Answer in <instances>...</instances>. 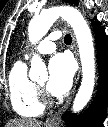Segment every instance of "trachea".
Here are the masks:
<instances>
[{
	"label": "trachea",
	"instance_id": "obj_1",
	"mask_svg": "<svg viewBox=\"0 0 108 127\" xmlns=\"http://www.w3.org/2000/svg\"><path fill=\"white\" fill-rule=\"evenodd\" d=\"M64 42H65V44H70L72 42L71 35L66 34L64 37Z\"/></svg>",
	"mask_w": 108,
	"mask_h": 127
}]
</instances>
